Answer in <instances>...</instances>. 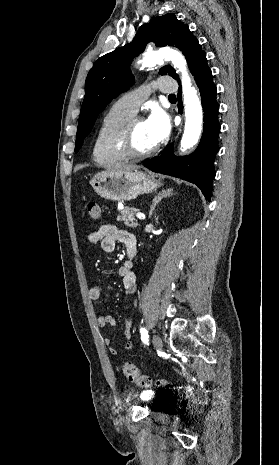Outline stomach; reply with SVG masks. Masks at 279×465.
<instances>
[{
    "label": "stomach",
    "mask_w": 279,
    "mask_h": 465,
    "mask_svg": "<svg viewBox=\"0 0 279 465\" xmlns=\"http://www.w3.org/2000/svg\"><path fill=\"white\" fill-rule=\"evenodd\" d=\"M90 184L101 197L124 201L157 190L161 182L142 171L129 170L99 172L92 177Z\"/></svg>",
    "instance_id": "0dacf381"
}]
</instances>
